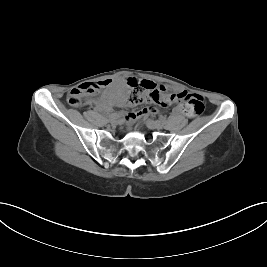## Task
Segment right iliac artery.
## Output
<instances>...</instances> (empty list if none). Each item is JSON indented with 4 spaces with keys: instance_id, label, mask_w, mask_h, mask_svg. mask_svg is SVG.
<instances>
[{
    "instance_id": "82829eb1",
    "label": "right iliac artery",
    "mask_w": 267,
    "mask_h": 267,
    "mask_svg": "<svg viewBox=\"0 0 267 267\" xmlns=\"http://www.w3.org/2000/svg\"><path fill=\"white\" fill-rule=\"evenodd\" d=\"M118 116H119L118 113H112V114H110V115H107V118H108L109 120H112V119H116Z\"/></svg>"
}]
</instances>
